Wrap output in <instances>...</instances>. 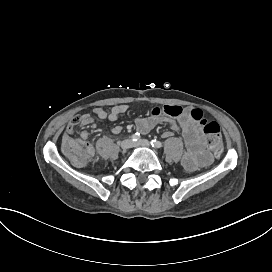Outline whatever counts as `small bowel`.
Listing matches in <instances>:
<instances>
[{"label": "small bowel", "instance_id": "1", "mask_svg": "<svg viewBox=\"0 0 272 272\" xmlns=\"http://www.w3.org/2000/svg\"><path fill=\"white\" fill-rule=\"evenodd\" d=\"M127 110V105L118 104L113 106L110 111H106L102 107H95L93 113L98 119L116 121ZM191 110V108H182L176 105H168L162 109L156 107L150 111L148 116L137 118L135 121L137 129L143 134L150 132L159 123H167L172 130L179 131L183 136L185 144L182 164L189 172L197 170L205 162V158H207V153L203 150L204 137L201 127L198 122H194L190 118ZM93 123L94 118L91 114H79L68 123L66 132L74 133L77 125L89 126ZM121 131V126H114L112 128L114 134H119ZM171 134V131H166L163 136L169 137ZM81 137L88 138L89 132L83 131Z\"/></svg>", "mask_w": 272, "mask_h": 272}]
</instances>
